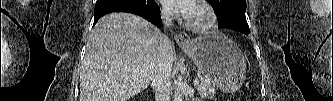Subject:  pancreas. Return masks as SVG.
I'll return each mask as SVG.
<instances>
[{
  "mask_svg": "<svg viewBox=\"0 0 333 101\" xmlns=\"http://www.w3.org/2000/svg\"><path fill=\"white\" fill-rule=\"evenodd\" d=\"M198 94L201 98L211 99L215 95V85L208 78L202 77V80L197 87Z\"/></svg>",
  "mask_w": 333,
  "mask_h": 101,
  "instance_id": "pancreas-1",
  "label": "pancreas"
}]
</instances>
